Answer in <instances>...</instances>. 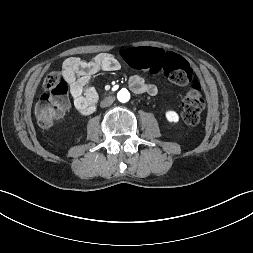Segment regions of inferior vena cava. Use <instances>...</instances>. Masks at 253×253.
<instances>
[{"label": "inferior vena cava", "mask_w": 253, "mask_h": 253, "mask_svg": "<svg viewBox=\"0 0 253 253\" xmlns=\"http://www.w3.org/2000/svg\"><path fill=\"white\" fill-rule=\"evenodd\" d=\"M113 102H114V98L113 97H108V98H106V99H104V100L101 101L100 106L103 107V108L104 107H108Z\"/></svg>", "instance_id": "inferior-vena-cava-1"}]
</instances>
